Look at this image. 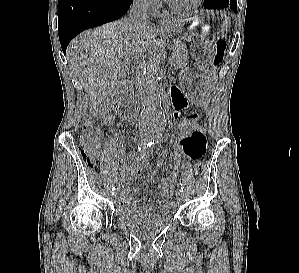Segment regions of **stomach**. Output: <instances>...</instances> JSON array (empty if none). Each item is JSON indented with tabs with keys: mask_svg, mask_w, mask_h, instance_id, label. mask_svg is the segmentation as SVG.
<instances>
[{
	"mask_svg": "<svg viewBox=\"0 0 299 273\" xmlns=\"http://www.w3.org/2000/svg\"><path fill=\"white\" fill-rule=\"evenodd\" d=\"M181 24L168 23L165 27L174 35L189 43L192 61H211V48L214 42L223 36L230 27L228 16L222 11H201L184 19ZM214 62H197L192 70H182L180 79L189 96L187 101L202 102L211 90L212 74L219 69H211Z\"/></svg>",
	"mask_w": 299,
	"mask_h": 273,
	"instance_id": "0dacf381",
	"label": "stomach"
}]
</instances>
